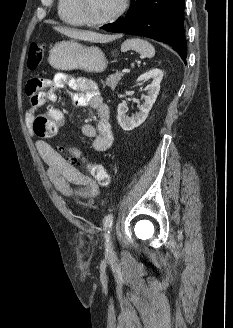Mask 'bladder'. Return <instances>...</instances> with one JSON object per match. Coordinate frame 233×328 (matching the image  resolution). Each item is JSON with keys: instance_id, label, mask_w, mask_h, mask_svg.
Here are the masks:
<instances>
[{"instance_id": "1", "label": "bladder", "mask_w": 233, "mask_h": 328, "mask_svg": "<svg viewBox=\"0 0 233 328\" xmlns=\"http://www.w3.org/2000/svg\"><path fill=\"white\" fill-rule=\"evenodd\" d=\"M92 203L90 201L84 203L83 205V208L86 210V211H89L91 208H92Z\"/></svg>"}]
</instances>
